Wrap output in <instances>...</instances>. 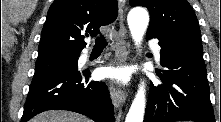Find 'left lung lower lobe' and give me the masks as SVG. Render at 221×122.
I'll list each match as a JSON object with an SVG mask.
<instances>
[{"mask_svg": "<svg viewBox=\"0 0 221 122\" xmlns=\"http://www.w3.org/2000/svg\"><path fill=\"white\" fill-rule=\"evenodd\" d=\"M146 36L159 39L166 70L160 75L162 85L151 83L144 122H215L203 51L166 43L151 31Z\"/></svg>", "mask_w": 221, "mask_h": 122, "instance_id": "obj_1", "label": "left lung lower lobe"}]
</instances>
